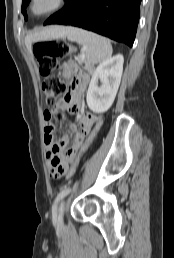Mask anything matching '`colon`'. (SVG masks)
Wrapping results in <instances>:
<instances>
[{"mask_svg":"<svg viewBox=\"0 0 174 258\" xmlns=\"http://www.w3.org/2000/svg\"><path fill=\"white\" fill-rule=\"evenodd\" d=\"M34 55L38 61L39 70L46 78L42 83V90L46 103L52 108V117L63 119V113L56 109L58 99L64 95L71 86V81L53 75L57 69L59 59L72 54L73 47L64 40H45L36 42L33 46ZM103 124V118L96 116L91 131L82 145L80 152L66 172L67 178H72L76 172L81 155L86 152L95 141Z\"/></svg>","mask_w":174,"mask_h":258,"instance_id":"colon-1","label":"colon"}]
</instances>
